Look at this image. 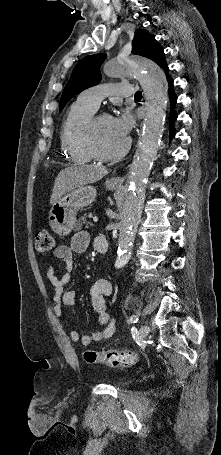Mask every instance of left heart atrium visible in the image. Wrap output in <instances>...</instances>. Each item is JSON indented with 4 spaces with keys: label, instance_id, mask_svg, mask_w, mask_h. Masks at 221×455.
<instances>
[{
    "label": "left heart atrium",
    "instance_id": "39dd6f15",
    "mask_svg": "<svg viewBox=\"0 0 221 455\" xmlns=\"http://www.w3.org/2000/svg\"><path fill=\"white\" fill-rule=\"evenodd\" d=\"M113 121L118 132L122 136L127 137L133 126V119L130 113L125 111L121 115L113 118Z\"/></svg>",
    "mask_w": 221,
    "mask_h": 455
}]
</instances>
